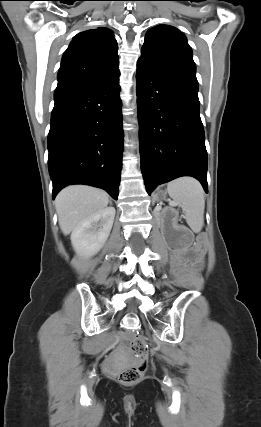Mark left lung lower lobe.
<instances>
[{
    "instance_id": "left-lung-lower-lobe-1",
    "label": "left lung lower lobe",
    "mask_w": 261,
    "mask_h": 427,
    "mask_svg": "<svg viewBox=\"0 0 261 427\" xmlns=\"http://www.w3.org/2000/svg\"><path fill=\"white\" fill-rule=\"evenodd\" d=\"M136 77L141 170L147 193L181 176L195 177L208 193L196 75L140 57Z\"/></svg>"
}]
</instances>
